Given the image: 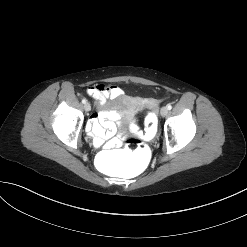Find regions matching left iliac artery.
Returning a JSON list of instances; mask_svg holds the SVG:
<instances>
[{"label":"left iliac artery","instance_id":"left-iliac-artery-1","mask_svg":"<svg viewBox=\"0 0 247 247\" xmlns=\"http://www.w3.org/2000/svg\"><path fill=\"white\" fill-rule=\"evenodd\" d=\"M167 109H168V110H171V109H172V105H171V104H168V105H167Z\"/></svg>","mask_w":247,"mask_h":247}]
</instances>
